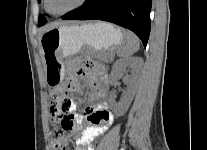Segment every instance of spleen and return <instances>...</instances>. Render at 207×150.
<instances>
[{
  "label": "spleen",
  "instance_id": "obj_1",
  "mask_svg": "<svg viewBox=\"0 0 207 150\" xmlns=\"http://www.w3.org/2000/svg\"><path fill=\"white\" fill-rule=\"evenodd\" d=\"M124 40L122 44L119 46L117 50V54L120 57H129L136 53L140 48V42L138 37L130 32L125 31L124 33Z\"/></svg>",
  "mask_w": 207,
  "mask_h": 150
}]
</instances>
